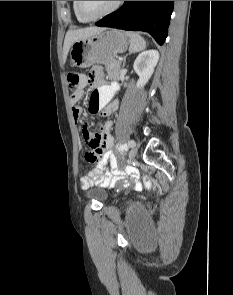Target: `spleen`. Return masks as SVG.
I'll return each instance as SVG.
<instances>
[{"label":"spleen","instance_id":"obj_1","mask_svg":"<svg viewBox=\"0 0 233 295\" xmlns=\"http://www.w3.org/2000/svg\"><path fill=\"white\" fill-rule=\"evenodd\" d=\"M127 36L130 39V48L131 53L140 52L146 48V42L142 36L135 32H127Z\"/></svg>","mask_w":233,"mask_h":295}]
</instances>
